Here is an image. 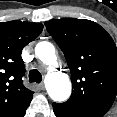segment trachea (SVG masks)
<instances>
[{"mask_svg":"<svg viewBox=\"0 0 117 117\" xmlns=\"http://www.w3.org/2000/svg\"><path fill=\"white\" fill-rule=\"evenodd\" d=\"M41 81H42V75L38 70L33 69L29 72V82L40 83Z\"/></svg>","mask_w":117,"mask_h":117,"instance_id":"obj_1","label":"trachea"}]
</instances>
